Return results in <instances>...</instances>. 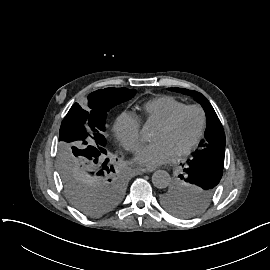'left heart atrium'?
<instances>
[{
    "label": "left heart atrium",
    "mask_w": 270,
    "mask_h": 270,
    "mask_svg": "<svg viewBox=\"0 0 270 270\" xmlns=\"http://www.w3.org/2000/svg\"><path fill=\"white\" fill-rule=\"evenodd\" d=\"M176 156L173 146L167 141H156L145 145L136 155L135 161L142 167L153 169L170 163Z\"/></svg>",
    "instance_id": "obj_1"
}]
</instances>
